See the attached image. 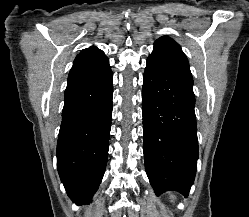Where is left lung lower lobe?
<instances>
[{
    "instance_id": "1",
    "label": "left lung lower lobe",
    "mask_w": 249,
    "mask_h": 217,
    "mask_svg": "<svg viewBox=\"0 0 249 217\" xmlns=\"http://www.w3.org/2000/svg\"><path fill=\"white\" fill-rule=\"evenodd\" d=\"M191 73L147 60L142 115L145 169L156 193L187 196L194 182L198 139Z\"/></svg>"
}]
</instances>
